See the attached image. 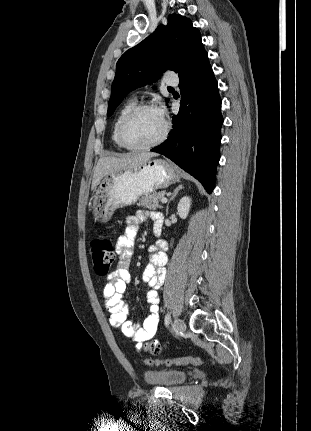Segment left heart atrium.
<instances>
[{
	"label": "left heart atrium",
	"mask_w": 311,
	"mask_h": 431,
	"mask_svg": "<svg viewBox=\"0 0 311 431\" xmlns=\"http://www.w3.org/2000/svg\"><path fill=\"white\" fill-rule=\"evenodd\" d=\"M155 110L158 112V114L164 119V115H165V109H164V107L161 105V104H159L156 108H155Z\"/></svg>",
	"instance_id": "left-heart-atrium-1"
}]
</instances>
